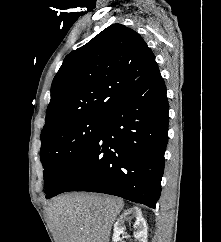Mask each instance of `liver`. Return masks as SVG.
I'll return each instance as SVG.
<instances>
[{"instance_id": "liver-1", "label": "liver", "mask_w": 221, "mask_h": 242, "mask_svg": "<svg viewBox=\"0 0 221 242\" xmlns=\"http://www.w3.org/2000/svg\"><path fill=\"white\" fill-rule=\"evenodd\" d=\"M124 207L120 198L65 194L48 205L55 242H109L110 230Z\"/></svg>"}]
</instances>
